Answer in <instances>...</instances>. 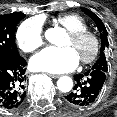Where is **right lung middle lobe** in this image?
Instances as JSON below:
<instances>
[{
	"mask_svg": "<svg viewBox=\"0 0 117 117\" xmlns=\"http://www.w3.org/2000/svg\"><path fill=\"white\" fill-rule=\"evenodd\" d=\"M24 17L21 12L0 16V56H20L14 41V31L17 23Z\"/></svg>",
	"mask_w": 117,
	"mask_h": 117,
	"instance_id": "obj_1",
	"label": "right lung middle lobe"
}]
</instances>
